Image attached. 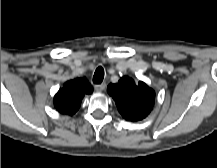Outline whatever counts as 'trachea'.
Returning a JSON list of instances; mask_svg holds the SVG:
<instances>
[{"instance_id": "1", "label": "trachea", "mask_w": 217, "mask_h": 168, "mask_svg": "<svg viewBox=\"0 0 217 168\" xmlns=\"http://www.w3.org/2000/svg\"><path fill=\"white\" fill-rule=\"evenodd\" d=\"M103 78H104V69L101 66H99L95 70V73H94V76H93V82L95 84H100L103 81Z\"/></svg>"}]
</instances>
